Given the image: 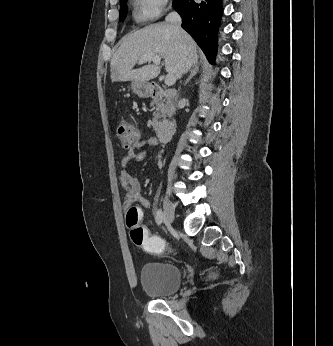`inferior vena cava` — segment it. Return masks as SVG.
<instances>
[{"instance_id": "602c4592", "label": "inferior vena cava", "mask_w": 333, "mask_h": 346, "mask_svg": "<svg viewBox=\"0 0 333 346\" xmlns=\"http://www.w3.org/2000/svg\"><path fill=\"white\" fill-rule=\"evenodd\" d=\"M166 22L170 24L178 33H182L181 23L182 19L177 12H171L166 17Z\"/></svg>"}]
</instances>
